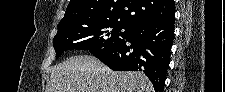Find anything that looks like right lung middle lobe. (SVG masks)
Listing matches in <instances>:
<instances>
[{
	"label": "right lung middle lobe",
	"instance_id": "right-lung-middle-lobe-1",
	"mask_svg": "<svg viewBox=\"0 0 225 92\" xmlns=\"http://www.w3.org/2000/svg\"><path fill=\"white\" fill-rule=\"evenodd\" d=\"M131 30L132 27L119 22H76L72 27L58 30L54 37L56 58L70 49L89 50L91 53L107 49L127 39Z\"/></svg>",
	"mask_w": 225,
	"mask_h": 92
}]
</instances>
